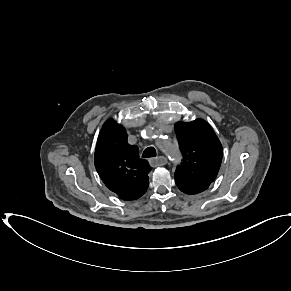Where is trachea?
Returning <instances> with one entry per match:
<instances>
[{"label":"trachea","mask_w":291,"mask_h":291,"mask_svg":"<svg viewBox=\"0 0 291 291\" xmlns=\"http://www.w3.org/2000/svg\"><path fill=\"white\" fill-rule=\"evenodd\" d=\"M155 156H156V150L154 147L146 148L142 154L143 158H149V157H155Z\"/></svg>","instance_id":"3493384b"}]
</instances>
